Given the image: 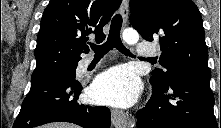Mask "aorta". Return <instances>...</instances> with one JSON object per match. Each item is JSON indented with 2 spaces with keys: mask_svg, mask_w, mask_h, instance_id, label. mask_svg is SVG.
I'll return each instance as SVG.
<instances>
[{
  "mask_svg": "<svg viewBox=\"0 0 221 128\" xmlns=\"http://www.w3.org/2000/svg\"><path fill=\"white\" fill-rule=\"evenodd\" d=\"M122 37L123 40L129 45H134L139 40V34L134 29H125L123 31Z\"/></svg>",
  "mask_w": 221,
  "mask_h": 128,
  "instance_id": "762f6f07",
  "label": "aorta"
}]
</instances>
